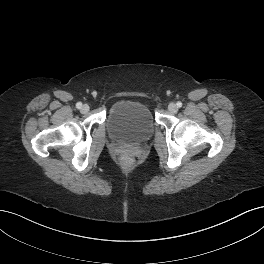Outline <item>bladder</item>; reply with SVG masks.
I'll use <instances>...</instances> for the list:
<instances>
[{
	"mask_svg": "<svg viewBox=\"0 0 264 264\" xmlns=\"http://www.w3.org/2000/svg\"><path fill=\"white\" fill-rule=\"evenodd\" d=\"M106 127L114 141L126 145H139L151 139L155 123L145 104L133 100H121L109 109Z\"/></svg>",
	"mask_w": 264,
	"mask_h": 264,
	"instance_id": "obj_1",
	"label": "bladder"
}]
</instances>
